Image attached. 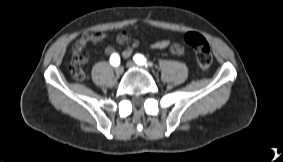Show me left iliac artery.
Wrapping results in <instances>:
<instances>
[{"instance_id": "1", "label": "left iliac artery", "mask_w": 283, "mask_h": 162, "mask_svg": "<svg viewBox=\"0 0 283 162\" xmlns=\"http://www.w3.org/2000/svg\"><path fill=\"white\" fill-rule=\"evenodd\" d=\"M133 59L139 65H148L146 58L141 54H136Z\"/></svg>"}]
</instances>
